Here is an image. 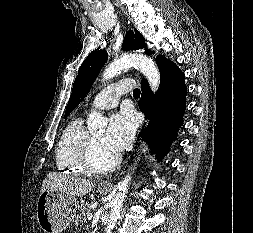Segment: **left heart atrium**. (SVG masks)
<instances>
[{
    "label": "left heart atrium",
    "mask_w": 253,
    "mask_h": 233,
    "mask_svg": "<svg viewBox=\"0 0 253 233\" xmlns=\"http://www.w3.org/2000/svg\"><path fill=\"white\" fill-rule=\"evenodd\" d=\"M135 127V118L131 112L122 111L112 115L103 137V145L113 153L123 151L131 142Z\"/></svg>",
    "instance_id": "left-heart-atrium-1"
}]
</instances>
